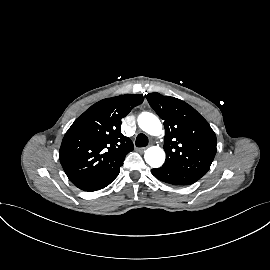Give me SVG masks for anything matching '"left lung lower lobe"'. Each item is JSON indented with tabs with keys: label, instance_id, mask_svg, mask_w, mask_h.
<instances>
[{
	"label": "left lung lower lobe",
	"instance_id": "left-lung-lower-lobe-1",
	"mask_svg": "<svg viewBox=\"0 0 270 270\" xmlns=\"http://www.w3.org/2000/svg\"><path fill=\"white\" fill-rule=\"evenodd\" d=\"M151 173L160 181L173 185H191L199 179L180 169L162 166Z\"/></svg>",
	"mask_w": 270,
	"mask_h": 270
}]
</instances>
